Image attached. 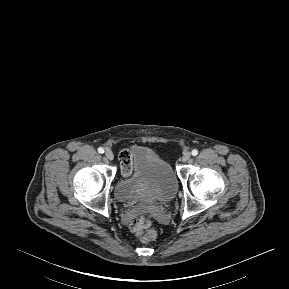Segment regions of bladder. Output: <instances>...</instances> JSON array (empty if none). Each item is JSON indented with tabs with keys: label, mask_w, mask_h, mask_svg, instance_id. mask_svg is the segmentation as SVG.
Segmentation results:
<instances>
[{
	"label": "bladder",
	"mask_w": 289,
	"mask_h": 289,
	"mask_svg": "<svg viewBox=\"0 0 289 289\" xmlns=\"http://www.w3.org/2000/svg\"><path fill=\"white\" fill-rule=\"evenodd\" d=\"M177 188V178L170 164L151 149L136 147L132 150V173L116 182L114 195L127 205L166 203L175 197Z\"/></svg>",
	"instance_id": "1"
}]
</instances>
